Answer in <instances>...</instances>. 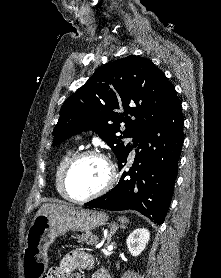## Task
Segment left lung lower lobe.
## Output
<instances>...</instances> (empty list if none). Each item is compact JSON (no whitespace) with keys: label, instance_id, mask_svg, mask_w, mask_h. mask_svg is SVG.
Listing matches in <instances>:
<instances>
[{"label":"left lung lower lobe","instance_id":"0a47b994","mask_svg":"<svg viewBox=\"0 0 221 278\" xmlns=\"http://www.w3.org/2000/svg\"><path fill=\"white\" fill-rule=\"evenodd\" d=\"M183 140V115L177 100L134 141L130 151L139 147L130 169L126 168L130 151L118 162L121 178L116 187L85 205L116 211L132 209L162 224L171 203Z\"/></svg>","mask_w":221,"mask_h":278}]
</instances>
